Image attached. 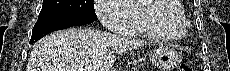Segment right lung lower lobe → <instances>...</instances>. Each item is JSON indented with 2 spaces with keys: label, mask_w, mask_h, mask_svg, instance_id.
Returning a JSON list of instances; mask_svg holds the SVG:
<instances>
[{
  "label": "right lung lower lobe",
  "mask_w": 230,
  "mask_h": 71,
  "mask_svg": "<svg viewBox=\"0 0 230 71\" xmlns=\"http://www.w3.org/2000/svg\"><path fill=\"white\" fill-rule=\"evenodd\" d=\"M94 20H97V18H91L86 16H69L38 20L33 28L30 44H33L34 42L38 41L52 31L69 28L71 26L89 24L92 23Z\"/></svg>",
  "instance_id": "right-lung-lower-lobe-1"
}]
</instances>
